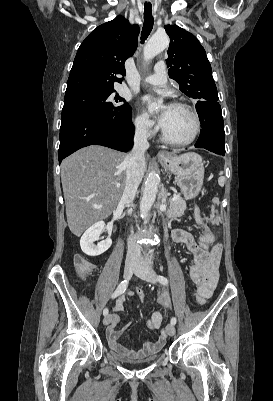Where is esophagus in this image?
Here are the masks:
<instances>
[{
  "instance_id": "obj_1",
  "label": "esophagus",
  "mask_w": 273,
  "mask_h": 401,
  "mask_svg": "<svg viewBox=\"0 0 273 401\" xmlns=\"http://www.w3.org/2000/svg\"><path fill=\"white\" fill-rule=\"evenodd\" d=\"M168 157H169V156H168V153H166V152L163 151V150L159 151L158 154H157V158H158V159H166V158H168Z\"/></svg>"
}]
</instances>
